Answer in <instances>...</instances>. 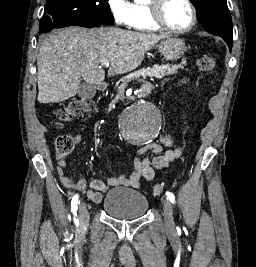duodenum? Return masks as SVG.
<instances>
[{
	"instance_id": "410a0bca",
	"label": "duodenum",
	"mask_w": 256,
	"mask_h": 267,
	"mask_svg": "<svg viewBox=\"0 0 256 267\" xmlns=\"http://www.w3.org/2000/svg\"><path fill=\"white\" fill-rule=\"evenodd\" d=\"M151 86L150 82H144L143 85H139L138 89L134 90L135 94L137 95L138 99H147V94L149 93V87ZM97 89H110L111 85L109 84L108 81H99L98 84L96 85Z\"/></svg>"
}]
</instances>
